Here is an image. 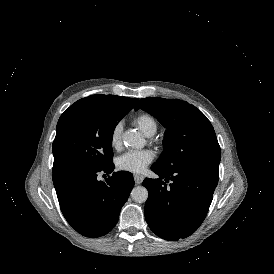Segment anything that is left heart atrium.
Here are the masks:
<instances>
[{
  "instance_id": "obj_1",
  "label": "left heart atrium",
  "mask_w": 274,
  "mask_h": 274,
  "mask_svg": "<svg viewBox=\"0 0 274 274\" xmlns=\"http://www.w3.org/2000/svg\"><path fill=\"white\" fill-rule=\"evenodd\" d=\"M152 161L148 150H137L124 153L117 157L116 166L119 170L140 172Z\"/></svg>"
}]
</instances>
